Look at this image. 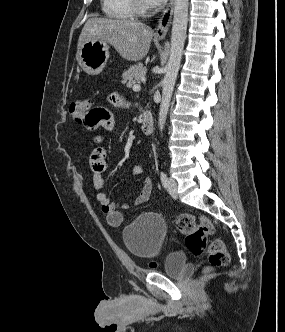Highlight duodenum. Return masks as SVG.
<instances>
[{"mask_svg":"<svg viewBox=\"0 0 285 332\" xmlns=\"http://www.w3.org/2000/svg\"><path fill=\"white\" fill-rule=\"evenodd\" d=\"M141 126L144 134L151 135L154 132V119L150 112L145 111L142 115Z\"/></svg>","mask_w":285,"mask_h":332,"instance_id":"410a0bca","label":"duodenum"}]
</instances>
